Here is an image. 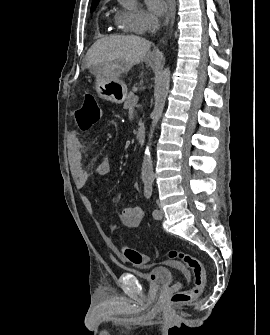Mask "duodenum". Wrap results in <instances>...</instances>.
Here are the masks:
<instances>
[{"instance_id": "1", "label": "duodenum", "mask_w": 270, "mask_h": 335, "mask_svg": "<svg viewBox=\"0 0 270 335\" xmlns=\"http://www.w3.org/2000/svg\"><path fill=\"white\" fill-rule=\"evenodd\" d=\"M146 138V132L144 127L138 128L136 132V140L139 144H144Z\"/></svg>"}]
</instances>
